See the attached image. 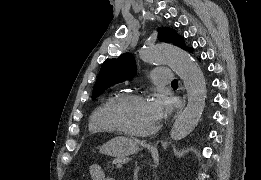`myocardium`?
Listing matches in <instances>:
<instances>
[{
  "instance_id": "1",
  "label": "myocardium",
  "mask_w": 261,
  "mask_h": 180,
  "mask_svg": "<svg viewBox=\"0 0 261 180\" xmlns=\"http://www.w3.org/2000/svg\"><path fill=\"white\" fill-rule=\"evenodd\" d=\"M143 98H145V95L142 92H129V93L121 94L107 108L106 119H107L109 127L111 128L113 135L115 137H128V138H131V139L149 140V139H152L153 137H155L157 135V133L159 132V130L162 126V115L160 113H159V118H158V122H157L156 126L149 133H147L143 136H139V137L129 136V135L124 134L121 131L118 123L112 117V112L115 108H117L119 106H123V105L127 104L128 102H130L132 100L143 99Z\"/></svg>"
}]
</instances>
